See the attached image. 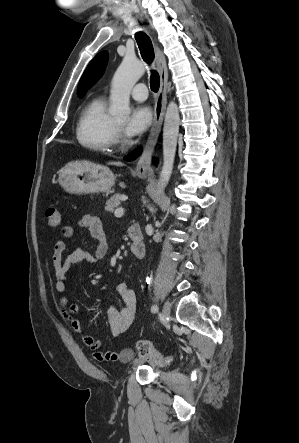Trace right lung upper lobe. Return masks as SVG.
I'll use <instances>...</instances> for the list:
<instances>
[{
    "label": "right lung upper lobe",
    "instance_id": "obj_1",
    "mask_svg": "<svg viewBox=\"0 0 299 443\" xmlns=\"http://www.w3.org/2000/svg\"><path fill=\"white\" fill-rule=\"evenodd\" d=\"M108 60L106 51L99 53L88 65L78 85L77 95L83 97L86 91L102 76Z\"/></svg>",
    "mask_w": 299,
    "mask_h": 443
}]
</instances>
